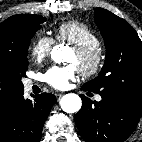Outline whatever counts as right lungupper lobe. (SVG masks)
<instances>
[{"mask_svg":"<svg viewBox=\"0 0 142 142\" xmlns=\"http://www.w3.org/2000/svg\"><path fill=\"white\" fill-rule=\"evenodd\" d=\"M29 15H15L0 23V52L14 44L18 32L24 26ZM21 93L22 91L15 89L0 88V123H2L9 108Z\"/></svg>","mask_w":142,"mask_h":142,"instance_id":"cb5924a9","label":"right lung upper lobe"}]
</instances>
